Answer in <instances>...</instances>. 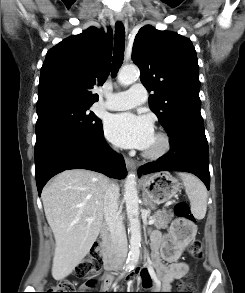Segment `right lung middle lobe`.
Returning <instances> with one entry per match:
<instances>
[{
	"mask_svg": "<svg viewBox=\"0 0 245 293\" xmlns=\"http://www.w3.org/2000/svg\"><path fill=\"white\" fill-rule=\"evenodd\" d=\"M89 107L53 104L37 108L35 153L59 138L89 135L98 131L102 127L101 120L88 111Z\"/></svg>",
	"mask_w": 245,
	"mask_h": 293,
	"instance_id": "obj_1",
	"label": "right lung middle lobe"
}]
</instances>
